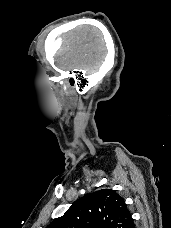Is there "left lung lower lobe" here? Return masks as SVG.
Returning a JSON list of instances; mask_svg holds the SVG:
<instances>
[{
	"instance_id": "0a47b994",
	"label": "left lung lower lobe",
	"mask_w": 171,
	"mask_h": 228,
	"mask_svg": "<svg viewBox=\"0 0 171 228\" xmlns=\"http://www.w3.org/2000/svg\"><path fill=\"white\" fill-rule=\"evenodd\" d=\"M124 228H135V225H134L132 217L127 221V223L124 226Z\"/></svg>"
}]
</instances>
